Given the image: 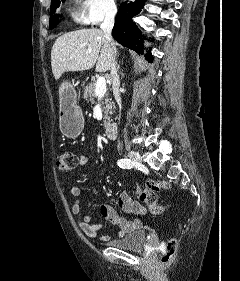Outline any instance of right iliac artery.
<instances>
[{"label": "right iliac artery", "instance_id": "1", "mask_svg": "<svg viewBox=\"0 0 240 281\" xmlns=\"http://www.w3.org/2000/svg\"><path fill=\"white\" fill-rule=\"evenodd\" d=\"M117 164L123 169H131L133 167V162L130 159H120Z\"/></svg>", "mask_w": 240, "mask_h": 281}]
</instances>
